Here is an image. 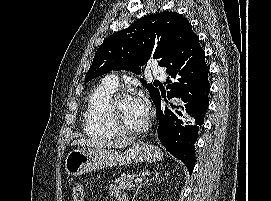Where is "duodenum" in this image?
Returning <instances> with one entry per match:
<instances>
[{"instance_id": "1", "label": "duodenum", "mask_w": 271, "mask_h": 201, "mask_svg": "<svg viewBox=\"0 0 271 201\" xmlns=\"http://www.w3.org/2000/svg\"><path fill=\"white\" fill-rule=\"evenodd\" d=\"M117 200H118V201H129V200H128V197H127L126 194H124V193L119 194V195L117 196Z\"/></svg>"}]
</instances>
